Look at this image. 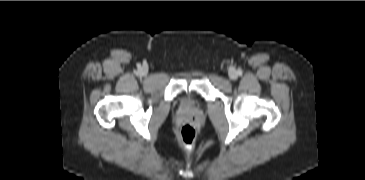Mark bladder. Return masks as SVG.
Returning <instances> with one entry per match:
<instances>
[{
    "label": "bladder",
    "mask_w": 365,
    "mask_h": 180,
    "mask_svg": "<svg viewBox=\"0 0 365 180\" xmlns=\"http://www.w3.org/2000/svg\"><path fill=\"white\" fill-rule=\"evenodd\" d=\"M185 104H186L187 106H194V105H195V101H194V99H193V98H191V97H186V98H185Z\"/></svg>",
    "instance_id": "31cf9c89"
}]
</instances>
